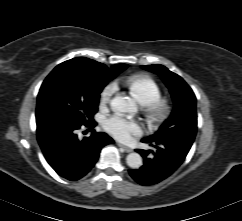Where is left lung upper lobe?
I'll return each mask as SVG.
<instances>
[{
    "label": "left lung upper lobe",
    "mask_w": 242,
    "mask_h": 221,
    "mask_svg": "<svg viewBox=\"0 0 242 221\" xmlns=\"http://www.w3.org/2000/svg\"><path fill=\"white\" fill-rule=\"evenodd\" d=\"M144 69L159 74L169 88L174 101V110L169 118L152 136L143 140L160 142L177 139L193 143L197 132L196 97L192 89L177 74L162 65H146Z\"/></svg>",
    "instance_id": "obj_1"
}]
</instances>
